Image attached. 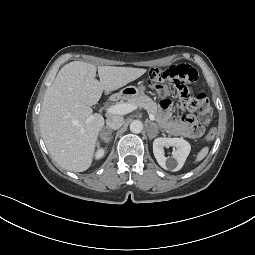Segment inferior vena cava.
Instances as JSON below:
<instances>
[{
  "instance_id": "inferior-vena-cava-1",
  "label": "inferior vena cava",
  "mask_w": 255,
  "mask_h": 255,
  "mask_svg": "<svg viewBox=\"0 0 255 255\" xmlns=\"http://www.w3.org/2000/svg\"><path fill=\"white\" fill-rule=\"evenodd\" d=\"M123 122V117L117 115L109 116L106 120L107 126L113 130L119 129L123 125Z\"/></svg>"
}]
</instances>
